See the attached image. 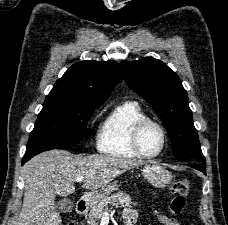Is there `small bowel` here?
Returning a JSON list of instances; mask_svg holds the SVG:
<instances>
[{"instance_id":"small-bowel-1","label":"small bowel","mask_w":228,"mask_h":225,"mask_svg":"<svg viewBox=\"0 0 228 225\" xmlns=\"http://www.w3.org/2000/svg\"><path fill=\"white\" fill-rule=\"evenodd\" d=\"M137 218V213L135 210L133 209H127L125 212H124V221H125V225H126V222L128 220H130L133 225H134V221L136 220ZM158 220L163 224V225H180L175 219H172V218H169L165 215H158Z\"/></svg>"}]
</instances>
